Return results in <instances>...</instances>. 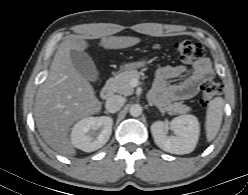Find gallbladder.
Wrapping results in <instances>:
<instances>
[{
    "label": "gallbladder",
    "instance_id": "obj_1",
    "mask_svg": "<svg viewBox=\"0 0 248 195\" xmlns=\"http://www.w3.org/2000/svg\"><path fill=\"white\" fill-rule=\"evenodd\" d=\"M70 57L75 70L84 78L95 82L98 78V72L92 58L83 51H70Z\"/></svg>",
    "mask_w": 248,
    "mask_h": 195
}]
</instances>
